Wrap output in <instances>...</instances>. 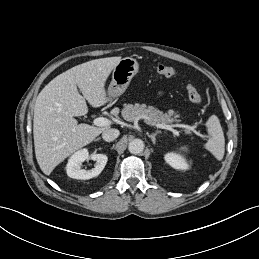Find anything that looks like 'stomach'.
<instances>
[{"label": "stomach", "mask_w": 259, "mask_h": 259, "mask_svg": "<svg viewBox=\"0 0 259 259\" xmlns=\"http://www.w3.org/2000/svg\"><path fill=\"white\" fill-rule=\"evenodd\" d=\"M139 64L136 59L126 57L121 59L113 68L112 80L108 87V99L122 95L129 86L132 78L137 74Z\"/></svg>", "instance_id": "1"}]
</instances>
